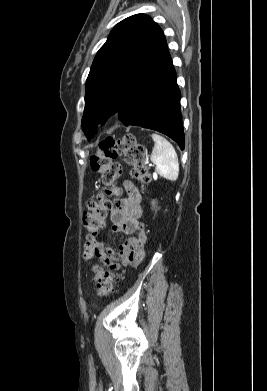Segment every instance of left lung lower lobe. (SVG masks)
<instances>
[{"label": "left lung lower lobe", "mask_w": 267, "mask_h": 391, "mask_svg": "<svg viewBox=\"0 0 267 391\" xmlns=\"http://www.w3.org/2000/svg\"><path fill=\"white\" fill-rule=\"evenodd\" d=\"M181 93L168 50L147 70L118 110L125 126L134 125L161 132L184 149L180 109ZM95 131L86 133L90 140Z\"/></svg>", "instance_id": "obj_1"}]
</instances>
